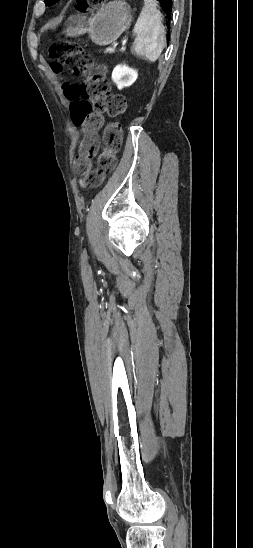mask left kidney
Listing matches in <instances>:
<instances>
[{"mask_svg":"<svg viewBox=\"0 0 253 548\" xmlns=\"http://www.w3.org/2000/svg\"><path fill=\"white\" fill-rule=\"evenodd\" d=\"M137 77V71L129 68L125 64L117 65L112 72V80L117 85L118 89L131 86L136 81Z\"/></svg>","mask_w":253,"mask_h":548,"instance_id":"1","label":"left kidney"}]
</instances>
